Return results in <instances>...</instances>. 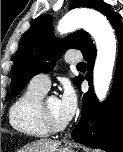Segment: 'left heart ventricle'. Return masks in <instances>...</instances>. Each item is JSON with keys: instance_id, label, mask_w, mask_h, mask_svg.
Segmentation results:
<instances>
[{"instance_id": "left-heart-ventricle-1", "label": "left heart ventricle", "mask_w": 123, "mask_h": 152, "mask_svg": "<svg viewBox=\"0 0 123 152\" xmlns=\"http://www.w3.org/2000/svg\"><path fill=\"white\" fill-rule=\"evenodd\" d=\"M46 107L52 116V118L57 122H65L61 114L60 102L56 97H50L46 101Z\"/></svg>"}]
</instances>
